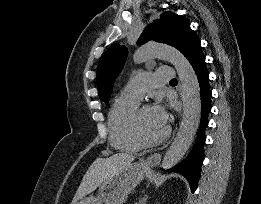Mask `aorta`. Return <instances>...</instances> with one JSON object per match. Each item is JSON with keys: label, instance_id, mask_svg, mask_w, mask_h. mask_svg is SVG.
I'll return each instance as SVG.
<instances>
[{"label": "aorta", "instance_id": "obj_1", "mask_svg": "<svg viewBox=\"0 0 261 204\" xmlns=\"http://www.w3.org/2000/svg\"><path fill=\"white\" fill-rule=\"evenodd\" d=\"M152 58H162L175 67L182 89V121L177 136L167 150L161 164L162 168L169 169L184 157L196 135L201 118L200 86L192 65L174 47L147 43L137 49L133 56L136 63Z\"/></svg>", "mask_w": 261, "mask_h": 204}]
</instances>
